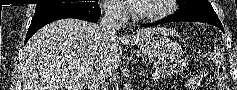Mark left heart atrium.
<instances>
[{
    "label": "left heart atrium",
    "mask_w": 237,
    "mask_h": 90,
    "mask_svg": "<svg viewBox=\"0 0 237 90\" xmlns=\"http://www.w3.org/2000/svg\"><path fill=\"white\" fill-rule=\"evenodd\" d=\"M119 3H126L127 7H132L133 3H148L149 0H118Z\"/></svg>",
    "instance_id": "left-heart-atrium-1"
}]
</instances>
